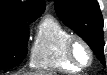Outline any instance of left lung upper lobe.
<instances>
[{"label":"left lung upper lobe","instance_id":"left-lung-upper-lobe-1","mask_svg":"<svg viewBox=\"0 0 107 75\" xmlns=\"http://www.w3.org/2000/svg\"><path fill=\"white\" fill-rule=\"evenodd\" d=\"M55 11L66 26L74 30L105 65L103 17L96 0H56Z\"/></svg>","mask_w":107,"mask_h":75}]
</instances>
